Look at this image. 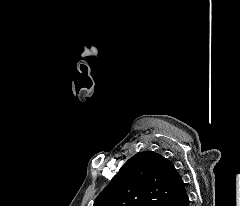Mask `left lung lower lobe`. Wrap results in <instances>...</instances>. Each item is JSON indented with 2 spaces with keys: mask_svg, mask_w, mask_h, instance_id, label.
I'll list each match as a JSON object with an SVG mask.
<instances>
[{
  "mask_svg": "<svg viewBox=\"0 0 240 206\" xmlns=\"http://www.w3.org/2000/svg\"><path fill=\"white\" fill-rule=\"evenodd\" d=\"M167 206H190L187 187L182 178L177 191L174 193Z\"/></svg>",
  "mask_w": 240,
  "mask_h": 206,
  "instance_id": "obj_1",
  "label": "left lung lower lobe"
}]
</instances>
